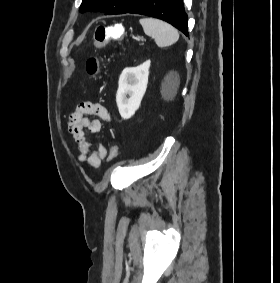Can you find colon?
I'll use <instances>...</instances> for the list:
<instances>
[{
	"label": "colon",
	"instance_id": "5ec220e1",
	"mask_svg": "<svg viewBox=\"0 0 280 283\" xmlns=\"http://www.w3.org/2000/svg\"><path fill=\"white\" fill-rule=\"evenodd\" d=\"M125 33L124 26L122 25H99L94 32L93 45L101 47L108 41L125 42V37H121ZM86 68L89 75L97 77L99 74V61L96 56H90L86 62ZM118 155V147L115 146L109 158L110 160L116 159Z\"/></svg>",
	"mask_w": 280,
	"mask_h": 283
}]
</instances>
